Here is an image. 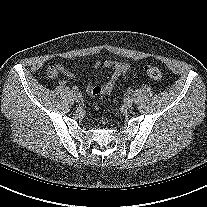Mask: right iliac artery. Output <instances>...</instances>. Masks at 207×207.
I'll return each mask as SVG.
<instances>
[{
    "label": "right iliac artery",
    "instance_id": "obj_1",
    "mask_svg": "<svg viewBox=\"0 0 207 207\" xmlns=\"http://www.w3.org/2000/svg\"><path fill=\"white\" fill-rule=\"evenodd\" d=\"M72 90H73V92H75V93L78 92V88H77L76 86H74V87L72 88Z\"/></svg>",
    "mask_w": 207,
    "mask_h": 207
}]
</instances>
